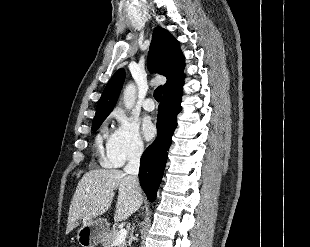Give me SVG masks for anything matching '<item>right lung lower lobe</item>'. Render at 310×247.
Returning a JSON list of instances; mask_svg holds the SVG:
<instances>
[{"instance_id": "right-lung-lower-lobe-1", "label": "right lung lower lobe", "mask_w": 310, "mask_h": 247, "mask_svg": "<svg viewBox=\"0 0 310 247\" xmlns=\"http://www.w3.org/2000/svg\"><path fill=\"white\" fill-rule=\"evenodd\" d=\"M182 86L164 93L158 107L157 138L145 150L140 161L139 179L149 201H154L165 168L172 135L181 111Z\"/></svg>"}]
</instances>
